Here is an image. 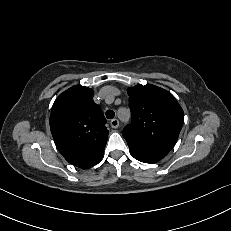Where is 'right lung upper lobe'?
<instances>
[{"label": "right lung upper lobe", "mask_w": 231, "mask_h": 231, "mask_svg": "<svg viewBox=\"0 0 231 231\" xmlns=\"http://www.w3.org/2000/svg\"><path fill=\"white\" fill-rule=\"evenodd\" d=\"M101 108L93 101V90L73 86L55 100L50 128L64 158L82 169L99 163L109 131Z\"/></svg>", "instance_id": "right-lung-upper-lobe-1"}]
</instances>
